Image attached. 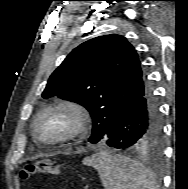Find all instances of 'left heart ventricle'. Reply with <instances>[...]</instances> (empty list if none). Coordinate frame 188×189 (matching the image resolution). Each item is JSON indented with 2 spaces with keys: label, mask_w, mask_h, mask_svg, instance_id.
<instances>
[{
  "label": "left heart ventricle",
  "mask_w": 188,
  "mask_h": 189,
  "mask_svg": "<svg viewBox=\"0 0 188 189\" xmlns=\"http://www.w3.org/2000/svg\"><path fill=\"white\" fill-rule=\"evenodd\" d=\"M71 125L69 115L64 112H53L45 115L38 124V135L50 139L62 135Z\"/></svg>",
  "instance_id": "left-heart-ventricle-1"
}]
</instances>
